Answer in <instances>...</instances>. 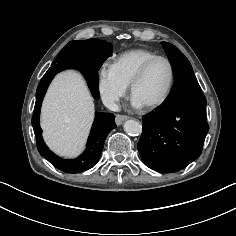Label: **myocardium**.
Here are the masks:
<instances>
[{"label": "myocardium", "mask_w": 236, "mask_h": 236, "mask_svg": "<svg viewBox=\"0 0 236 236\" xmlns=\"http://www.w3.org/2000/svg\"><path fill=\"white\" fill-rule=\"evenodd\" d=\"M160 60L165 61L168 64L169 69H170V79H169V83H168L165 93L158 100L143 105V107L148 110H153V109H156V108L162 106L169 99V97L172 93L174 83H175V68H174L172 61L165 56H159V55L149 59L141 66V68L138 70V72L136 73V75L134 76V78L130 84V93H131V96L134 97V93H135L137 86L143 80V78L147 74L150 67L155 62L160 61Z\"/></svg>", "instance_id": "1"}]
</instances>
